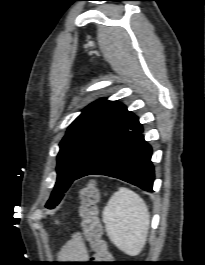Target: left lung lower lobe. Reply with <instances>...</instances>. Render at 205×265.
Listing matches in <instances>:
<instances>
[{
    "label": "left lung lower lobe",
    "mask_w": 205,
    "mask_h": 265,
    "mask_svg": "<svg viewBox=\"0 0 205 265\" xmlns=\"http://www.w3.org/2000/svg\"><path fill=\"white\" fill-rule=\"evenodd\" d=\"M142 132L138 117L133 116L126 127L82 168L75 180L87 175H106L153 192L152 149Z\"/></svg>",
    "instance_id": "0a47b994"
}]
</instances>
